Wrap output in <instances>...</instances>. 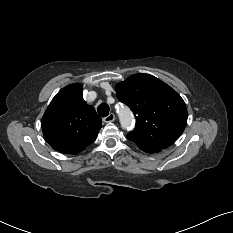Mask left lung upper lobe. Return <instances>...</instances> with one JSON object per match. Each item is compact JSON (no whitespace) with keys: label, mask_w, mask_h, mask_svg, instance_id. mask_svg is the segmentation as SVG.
<instances>
[{"label":"left lung upper lobe","mask_w":233,"mask_h":233,"mask_svg":"<svg viewBox=\"0 0 233 233\" xmlns=\"http://www.w3.org/2000/svg\"><path fill=\"white\" fill-rule=\"evenodd\" d=\"M119 101L128 105L136 127L127 138L140 149H165L182 134L187 122L183 99L149 74H135L116 85Z\"/></svg>","instance_id":"1"}]
</instances>
